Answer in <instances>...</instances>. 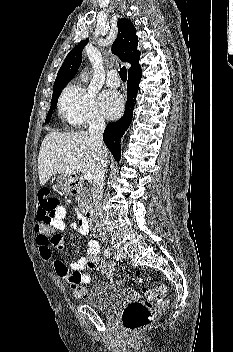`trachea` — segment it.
I'll return each mask as SVG.
<instances>
[{"instance_id": "3493384b", "label": "trachea", "mask_w": 233, "mask_h": 352, "mask_svg": "<svg viewBox=\"0 0 233 352\" xmlns=\"http://www.w3.org/2000/svg\"><path fill=\"white\" fill-rule=\"evenodd\" d=\"M119 75H120V78L123 80V81H126L127 79V70L125 67H122L119 71Z\"/></svg>"}]
</instances>
